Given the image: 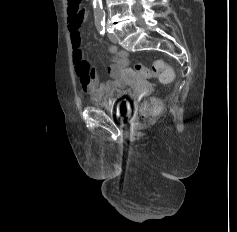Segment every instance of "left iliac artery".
I'll use <instances>...</instances> for the list:
<instances>
[{
  "instance_id": "44dca946",
  "label": "left iliac artery",
  "mask_w": 237,
  "mask_h": 232,
  "mask_svg": "<svg viewBox=\"0 0 237 232\" xmlns=\"http://www.w3.org/2000/svg\"><path fill=\"white\" fill-rule=\"evenodd\" d=\"M97 30L99 31L100 34L104 35V33H105V25H104V23L97 24Z\"/></svg>"
}]
</instances>
